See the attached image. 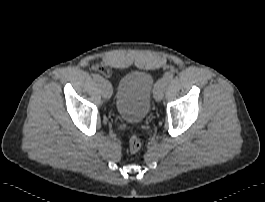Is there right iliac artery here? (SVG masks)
<instances>
[{
  "mask_svg": "<svg viewBox=\"0 0 265 202\" xmlns=\"http://www.w3.org/2000/svg\"><path fill=\"white\" fill-rule=\"evenodd\" d=\"M92 77L96 82H100L103 79L99 74H93Z\"/></svg>",
  "mask_w": 265,
  "mask_h": 202,
  "instance_id": "82829eb1",
  "label": "right iliac artery"
}]
</instances>
